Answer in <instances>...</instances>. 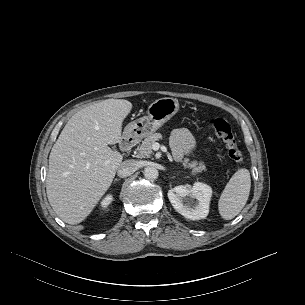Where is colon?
<instances>
[{"instance_id":"colon-1","label":"colon","mask_w":305,"mask_h":305,"mask_svg":"<svg viewBox=\"0 0 305 305\" xmlns=\"http://www.w3.org/2000/svg\"><path fill=\"white\" fill-rule=\"evenodd\" d=\"M213 127L216 135L224 142L229 157L236 163L242 162L243 155L237 146L230 124L225 119L218 117L214 120Z\"/></svg>"}]
</instances>
